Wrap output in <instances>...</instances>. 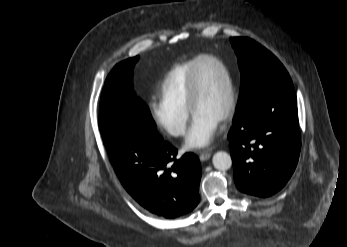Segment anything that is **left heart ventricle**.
Returning <instances> with one entry per match:
<instances>
[{
    "mask_svg": "<svg viewBox=\"0 0 347 247\" xmlns=\"http://www.w3.org/2000/svg\"><path fill=\"white\" fill-rule=\"evenodd\" d=\"M199 94L194 114L220 121L228 99V85L221 67L213 61H204L198 70Z\"/></svg>",
    "mask_w": 347,
    "mask_h": 247,
    "instance_id": "b2bd125f",
    "label": "left heart ventricle"
}]
</instances>
